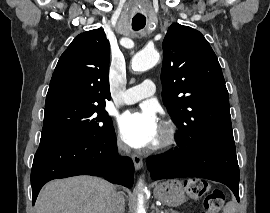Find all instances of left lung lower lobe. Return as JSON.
<instances>
[{"label": "left lung lower lobe", "instance_id": "0a47b994", "mask_svg": "<svg viewBox=\"0 0 270 213\" xmlns=\"http://www.w3.org/2000/svg\"><path fill=\"white\" fill-rule=\"evenodd\" d=\"M177 139V138H176ZM154 180L178 177H201L227 185L239 201V166L234 138L177 139L169 153L147 158Z\"/></svg>", "mask_w": 270, "mask_h": 213}]
</instances>
